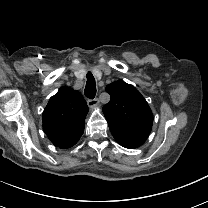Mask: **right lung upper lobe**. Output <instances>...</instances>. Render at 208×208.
<instances>
[{
	"label": "right lung upper lobe",
	"mask_w": 208,
	"mask_h": 208,
	"mask_svg": "<svg viewBox=\"0 0 208 208\" xmlns=\"http://www.w3.org/2000/svg\"><path fill=\"white\" fill-rule=\"evenodd\" d=\"M88 106L80 92L61 87L43 111V129L56 147L78 140L84 132Z\"/></svg>",
	"instance_id": "1"
}]
</instances>
